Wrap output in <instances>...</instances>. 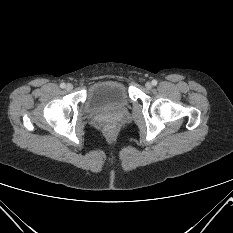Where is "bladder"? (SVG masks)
Wrapping results in <instances>:
<instances>
[{
	"label": "bladder",
	"mask_w": 233,
	"mask_h": 233,
	"mask_svg": "<svg viewBox=\"0 0 233 233\" xmlns=\"http://www.w3.org/2000/svg\"><path fill=\"white\" fill-rule=\"evenodd\" d=\"M130 105L128 91L118 80H102L90 86L87 91L85 107L90 113L108 110H123Z\"/></svg>",
	"instance_id": "31cf9c89"
}]
</instances>
